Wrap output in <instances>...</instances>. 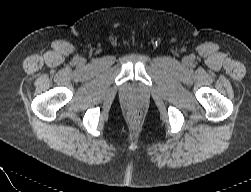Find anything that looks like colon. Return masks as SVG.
Masks as SVG:
<instances>
[{"label": "colon", "instance_id": "1", "mask_svg": "<svg viewBox=\"0 0 251 192\" xmlns=\"http://www.w3.org/2000/svg\"><path fill=\"white\" fill-rule=\"evenodd\" d=\"M139 118H140V115L137 111L130 112V114H129L130 121L137 122L139 120Z\"/></svg>", "mask_w": 251, "mask_h": 192}]
</instances>
